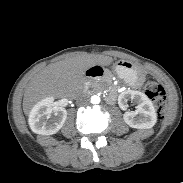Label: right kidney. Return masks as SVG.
<instances>
[{
  "mask_svg": "<svg viewBox=\"0 0 183 183\" xmlns=\"http://www.w3.org/2000/svg\"><path fill=\"white\" fill-rule=\"evenodd\" d=\"M66 118V109L55 105L53 97H46L31 109L29 125L36 134L52 135L62 128Z\"/></svg>",
  "mask_w": 183,
  "mask_h": 183,
  "instance_id": "right-kidney-1",
  "label": "right kidney"
}]
</instances>
